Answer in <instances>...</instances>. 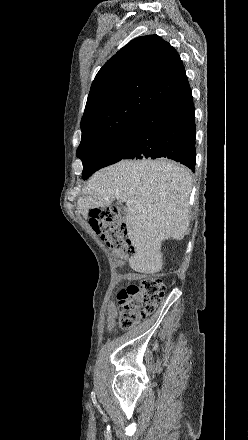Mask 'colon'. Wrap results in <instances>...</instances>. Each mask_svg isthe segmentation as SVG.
<instances>
[{"label":"colon","instance_id":"obj_1","mask_svg":"<svg viewBox=\"0 0 248 440\" xmlns=\"http://www.w3.org/2000/svg\"><path fill=\"white\" fill-rule=\"evenodd\" d=\"M90 226L101 235L108 247L118 257L130 252L126 239V226L122 213L115 207L94 209L90 212ZM165 283L156 277H145L138 284L129 285L117 294L119 324L130 329L153 314L164 296Z\"/></svg>","mask_w":248,"mask_h":440}]
</instances>
